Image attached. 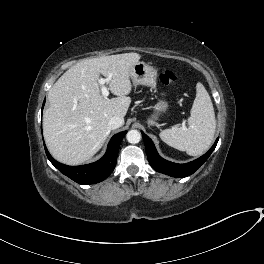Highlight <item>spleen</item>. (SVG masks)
<instances>
[{"label":"spleen","mask_w":264,"mask_h":264,"mask_svg":"<svg viewBox=\"0 0 264 264\" xmlns=\"http://www.w3.org/2000/svg\"><path fill=\"white\" fill-rule=\"evenodd\" d=\"M190 113L188 127L174 126L161 131L159 136L169 146L198 156L210 147L216 129L213 104L202 83L196 85V98Z\"/></svg>","instance_id":"obj_1"}]
</instances>
